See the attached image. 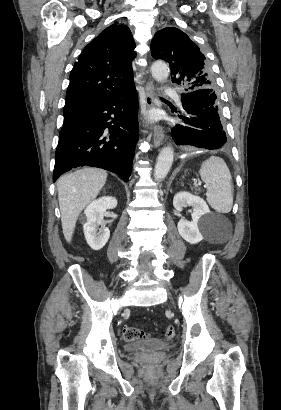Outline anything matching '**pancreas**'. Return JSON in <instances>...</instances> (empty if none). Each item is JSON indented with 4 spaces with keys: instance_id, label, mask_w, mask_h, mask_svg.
Returning a JSON list of instances; mask_svg holds the SVG:
<instances>
[{
    "instance_id": "pancreas-1",
    "label": "pancreas",
    "mask_w": 281,
    "mask_h": 410,
    "mask_svg": "<svg viewBox=\"0 0 281 410\" xmlns=\"http://www.w3.org/2000/svg\"><path fill=\"white\" fill-rule=\"evenodd\" d=\"M196 191H198V192H199V191H200V189H196Z\"/></svg>"
}]
</instances>
